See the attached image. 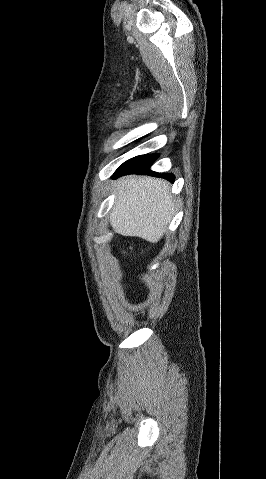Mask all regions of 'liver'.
Wrapping results in <instances>:
<instances>
[{"label":"liver","mask_w":266,"mask_h":479,"mask_svg":"<svg viewBox=\"0 0 266 479\" xmlns=\"http://www.w3.org/2000/svg\"><path fill=\"white\" fill-rule=\"evenodd\" d=\"M110 225L118 234L157 242L175 213L170 185L151 177L127 176L115 183Z\"/></svg>","instance_id":"obj_1"}]
</instances>
